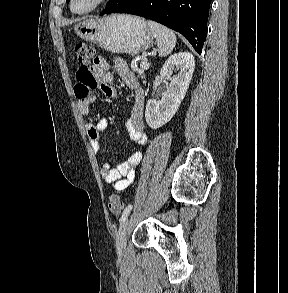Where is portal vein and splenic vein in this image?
Segmentation results:
<instances>
[{
    "instance_id": "obj_1",
    "label": "portal vein and splenic vein",
    "mask_w": 288,
    "mask_h": 293,
    "mask_svg": "<svg viewBox=\"0 0 288 293\" xmlns=\"http://www.w3.org/2000/svg\"><path fill=\"white\" fill-rule=\"evenodd\" d=\"M140 67L141 68H145V69H148L149 68V62L147 59H144L141 64H140Z\"/></svg>"
}]
</instances>
